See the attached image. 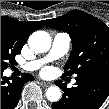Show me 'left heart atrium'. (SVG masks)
Here are the masks:
<instances>
[{"label":"left heart atrium","mask_w":109,"mask_h":109,"mask_svg":"<svg viewBox=\"0 0 109 109\" xmlns=\"http://www.w3.org/2000/svg\"><path fill=\"white\" fill-rule=\"evenodd\" d=\"M44 74H45V75L51 74V69H49V68L45 69V70H44Z\"/></svg>","instance_id":"obj_1"}]
</instances>
